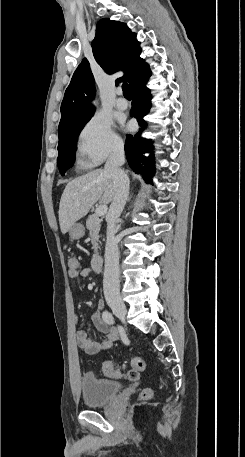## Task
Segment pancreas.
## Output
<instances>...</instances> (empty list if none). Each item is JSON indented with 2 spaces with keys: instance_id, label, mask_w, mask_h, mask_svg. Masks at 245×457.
Instances as JSON below:
<instances>
[{
  "instance_id": "1",
  "label": "pancreas",
  "mask_w": 245,
  "mask_h": 457,
  "mask_svg": "<svg viewBox=\"0 0 245 457\" xmlns=\"http://www.w3.org/2000/svg\"><path fill=\"white\" fill-rule=\"evenodd\" d=\"M102 218H99L97 214H89L86 220V226L91 235V243L93 245L95 255L98 253V241H99V231H100V222Z\"/></svg>"
}]
</instances>
